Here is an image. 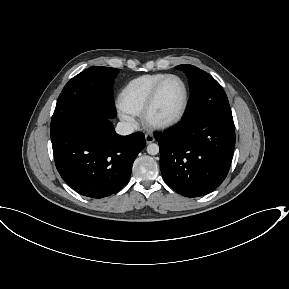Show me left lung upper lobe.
I'll use <instances>...</instances> for the list:
<instances>
[{"instance_id": "left-lung-upper-lobe-1", "label": "left lung upper lobe", "mask_w": 289, "mask_h": 289, "mask_svg": "<svg viewBox=\"0 0 289 289\" xmlns=\"http://www.w3.org/2000/svg\"><path fill=\"white\" fill-rule=\"evenodd\" d=\"M177 68L186 73L191 90L183 121L204 114L232 119L227 96L221 85L211 75L189 64L178 65Z\"/></svg>"}]
</instances>
